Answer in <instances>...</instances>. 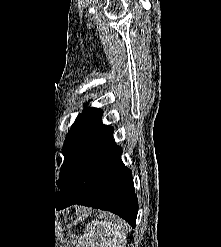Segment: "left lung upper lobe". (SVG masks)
Segmentation results:
<instances>
[{
  "instance_id": "left-lung-upper-lobe-1",
  "label": "left lung upper lobe",
  "mask_w": 221,
  "mask_h": 247,
  "mask_svg": "<svg viewBox=\"0 0 221 247\" xmlns=\"http://www.w3.org/2000/svg\"><path fill=\"white\" fill-rule=\"evenodd\" d=\"M102 115L101 109L85 108L68 132L62 148L64 162L56 181L60 190L71 183L92 144L109 128L101 122Z\"/></svg>"
}]
</instances>
